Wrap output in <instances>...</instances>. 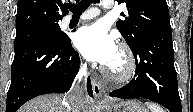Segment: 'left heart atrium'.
Instances as JSON below:
<instances>
[{"label": "left heart atrium", "instance_id": "1", "mask_svg": "<svg viewBox=\"0 0 193 112\" xmlns=\"http://www.w3.org/2000/svg\"><path fill=\"white\" fill-rule=\"evenodd\" d=\"M75 46L86 59L106 66L118 50L114 37L103 22L82 27L76 34Z\"/></svg>", "mask_w": 193, "mask_h": 112}]
</instances>
